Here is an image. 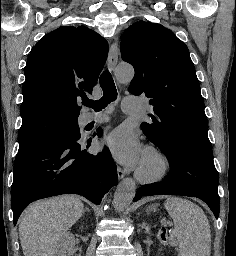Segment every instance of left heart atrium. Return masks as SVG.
I'll use <instances>...</instances> for the list:
<instances>
[{
	"label": "left heart atrium",
	"mask_w": 236,
	"mask_h": 256,
	"mask_svg": "<svg viewBox=\"0 0 236 256\" xmlns=\"http://www.w3.org/2000/svg\"><path fill=\"white\" fill-rule=\"evenodd\" d=\"M103 145L116 161L129 167L139 165L145 153L139 137L126 126L110 132L104 138Z\"/></svg>",
	"instance_id": "obj_1"
}]
</instances>
